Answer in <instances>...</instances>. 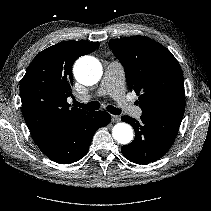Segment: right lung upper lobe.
Here are the masks:
<instances>
[{"instance_id":"right-lung-upper-lobe-1","label":"right lung upper lobe","mask_w":211,"mask_h":211,"mask_svg":"<svg viewBox=\"0 0 211 211\" xmlns=\"http://www.w3.org/2000/svg\"><path fill=\"white\" fill-rule=\"evenodd\" d=\"M99 47L97 42L66 41L41 51L29 65L20 84L22 112L41 151L53 145L79 116L87 113L67 103L71 93L72 65Z\"/></svg>"}]
</instances>
